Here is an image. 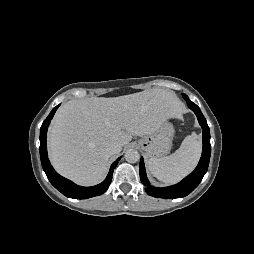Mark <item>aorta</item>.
<instances>
[{
    "mask_svg": "<svg viewBox=\"0 0 254 254\" xmlns=\"http://www.w3.org/2000/svg\"><path fill=\"white\" fill-rule=\"evenodd\" d=\"M125 160L129 163H136L140 159V154L135 149H129L125 152Z\"/></svg>",
    "mask_w": 254,
    "mask_h": 254,
    "instance_id": "obj_1",
    "label": "aorta"
}]
</instances>
